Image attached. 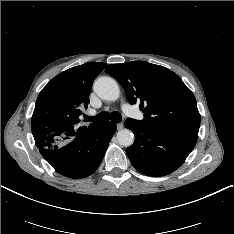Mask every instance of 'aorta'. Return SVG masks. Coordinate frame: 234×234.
Here are the masks:
<instances>
[{"label": "aorta", "instance_id": "762f6f07", "mask_svg": "<svg viewBox=\"0 0 234 234\" xmlns=\"http://www.w3.org/2000/svg\"><path fill=\"white\" fill-rule=\"evenodd\" d=\"M95 93L107 101H116L120 96V89L117 82L110 77H100L93 85ZM117 141L124 147L134 143V134L129 129H122L117 133Z\"/></svg>", "mask_w": 234, "mask_h": 234}]
</instances>
